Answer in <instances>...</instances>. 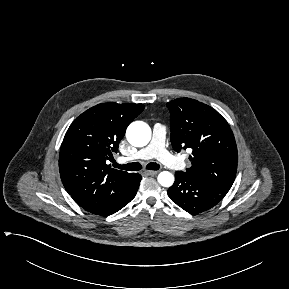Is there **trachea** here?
Returning <instances> with one entry per match:
<instances>
[{"label":"trachea","instance_id":"3493384b","mask_svg":"<svg viewBox=\"0 0 289 289\" xmlns=\"http://www.w3.org/2000/svg\"><path fill=\"white\" fill-rule=\"evenodd\" d=\"M114 167L119 168L121 170H126V171H139L142 169V165L140 163L137 162H133V163H128V164H124V165H120L116 162H114ZM146 168L148 170H159L160 165L157 163H149L147 164Z\"/></svg>","mask_w":289,"mask_h":289}]
</instances>
